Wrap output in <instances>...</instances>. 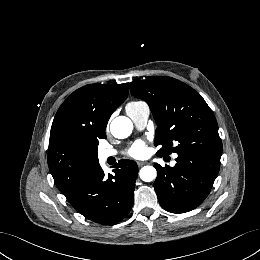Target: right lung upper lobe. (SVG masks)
<instances>
[{"label":"right lung upper lobe","instance_id":"obj_1","mask_svg":"<svg viewBox=\"0 0 260 260\" xmlns=\"http://www.w3.org/2000/svg\"><path fill=\"white\" fill-rule=\"evenodd\" d=\"M129 84H91L74 91L58 109L50 132L48 165L66 197L99 165L97 146Z\"/></svg>","mask_w":260,"mask_h":260}]
</instances>
